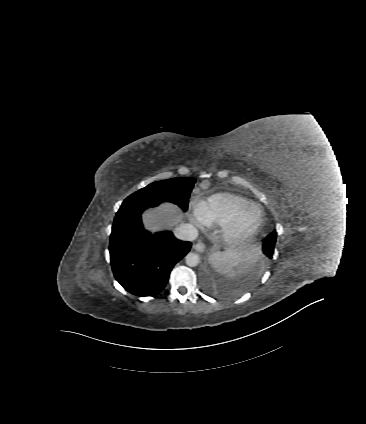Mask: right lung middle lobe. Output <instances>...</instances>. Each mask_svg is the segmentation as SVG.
Here are the masks:
<instances>
[{"instance_id": "dd1d6c3e", "label": "right lung middle lobe", "mask_w": 366, "mask_h": 424, "mask_svg": "<svg viewBox=\"0 0 366 424\" xmlns=\"http://www.w3.org/2000/svg\"><path fill=\"white\" fill-rule=\"evenodd\" d=\"M195 182L196 180L194 178H172L151 183L128 196L122 203L119 211L155 207L164 201L175 203L183 211H186L188 208V199Z\"/></svg>"}]
</instances>
